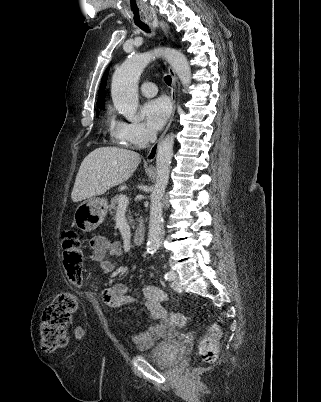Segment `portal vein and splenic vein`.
Segmentation results:
<instances>
[{"instance_id":"portal-vein-and-splenic-vein-1","label":"portal vein and splenic vein","mask_w":321,"mask_h":402,"mask_svg":"<svg viewBox=\"0 0 321 402\" xmlns=\"http://www.w3.org/2000/svg\"><path fill=\"white\" fill-rule=\"evenodd\" d=\"M129 204V200L127 198V196L122 195L120 196L119 200H118V207H126Z\"/></svg>"}]
</instances>
